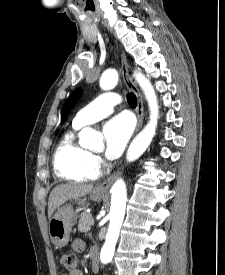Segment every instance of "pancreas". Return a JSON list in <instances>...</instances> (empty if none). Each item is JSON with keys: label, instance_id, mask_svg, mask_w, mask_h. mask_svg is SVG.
Here are the masks:
<instances>
[{"label": "pancreas", "instance_id": "pancreas-1", "mask_svg": "<svg viewBox=\"0 0 225 275\" xmlns=\"http://www.w3.org/2000/svg\"><path fill=\"white\" fill-rule=\"evenodd\" d=\"M92 215L86 212L81 213L80 220L78 223V230L80 232L86 233L90 230L92 226Z\"/></svg>", "mask_w": 225, "mask_h": 275}]
</instances>
